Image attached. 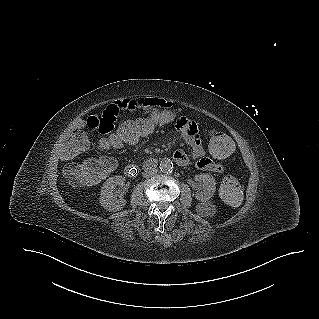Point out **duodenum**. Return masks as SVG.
Returning a JSON list of instances; mask_svg holds the SVG:
<instances>
[{"label": "duodenum", "mask_w": 319, "mask_h": 319, "mask_svg": "<svg viewBox=\"0 0 319 319\" xmlns=\"http://www.w3.org/2000/svg\"><path fill=\"white\" fill-rule=\"evenodd\" d=\"M158 164H159V159L157 157H151L144 162L143 169L152 170L156 168ZM138 171L139 169L135 164H127L124 167V174L130 178L136 177L138 174Z\"/></svg>", "instance_id": "duodenum-1"}]
</instances>
